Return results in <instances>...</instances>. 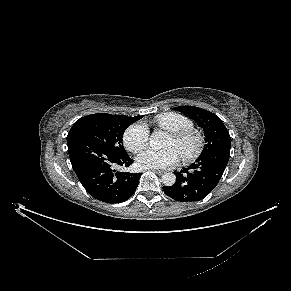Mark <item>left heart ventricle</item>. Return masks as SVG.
Masks as SVG:
<instances>
[{
    "label": "left heart ventricle",
    "instance_id": "obj_1",
    "mask_svg": "<svg viewBox=\"0 0 291 291\" xmlns=\"http://www.w3.org/2000/svg\"><path fill=\"white\" fill-rule=\"evenodd\" d=\"M194 145L193 140H188L184 143L177 142L172 136H170L165 144L168 147H174L179 152L180 155L190 151Z\"/></svg>",
    "mask_w": 291,
    "mask_h": 291
}]
</instances>
